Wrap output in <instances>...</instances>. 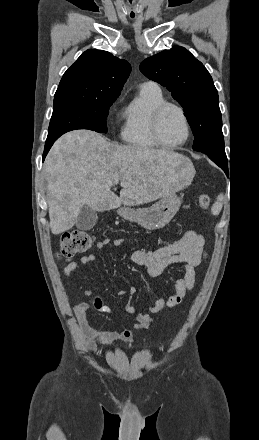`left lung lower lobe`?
<instances>
[{
  "instance_id": "obj_1",
  "label": "left lung lower lobe",
  "mask_w": 259,
  "mask_h": 440,
  "mask_svg": "<svg viewBox=\"0 0 259 440\" xmlns=\"http://www.w3.org/2000/svg\"><path fill=\"white\" fill-rule=\"evenodd\" d=\"M212 161H214L219 167H221L225 173H228V162L225 153L214 154V153H205Z\"/></svg>"
}]
</instances>
